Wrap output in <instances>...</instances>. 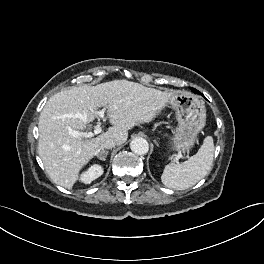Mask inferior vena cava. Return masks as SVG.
<instances>
[{
	"mask_svg": "<svg viewBox=\"0 0 264 264\" xmlns=\"http://www.w3.org/2000/svg\"><path fill=\"white\" fill-rule=\"evenodd\" d=\"M116 144H117V141H116V140L111 139V138H108V139L103 140V141L100 143L99 148H100L101 150H104V149H111V148H113Z\"/></svg>",
	"mask_w": 264,
	"mask_h": 264,
	"instance_id": "1",
	"label": "inferior vena cava"
}]
</instances>
